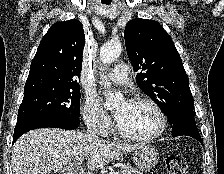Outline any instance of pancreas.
Segmentation results:
<instances>
[{"instance_id":"cf45deb5","label":"pancreas","mask_w":224,"mask_h":174,"mask_svg":"<svg viewBox=\"0 0 224 174\" xmlns=\"http://www.w3.org/2000/svg\"><path fill=\"white\" fill-rule=\"evenodd\" d=\"M115 168H117V166L113 165L109 168L110 172H108V170H103L102 174H116L114 172ZM120 174H142V172L132 168L130 165H123Z\"/></svg>"}]
</instances>
